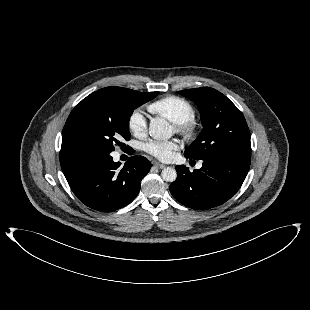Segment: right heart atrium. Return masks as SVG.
Listing matches in <instances>:
<instances>
[{
    "label": "right heart atrium",
    "instance_id": "d8ad5b80",
    "mask_svg": "<svg viewBox=\"0 0 310 310\" xmlns=\"http://www.w3.org/2000/svg\"><path fill=\"white\" fill-rule=\"evenodd\" d=\"M130 132L136 137H143L147 131V121L144 113L140 110H134L128 121Z\"/></svg>",
    "mask_w": 310,
    "mask_h": 310
}]
</instances>
